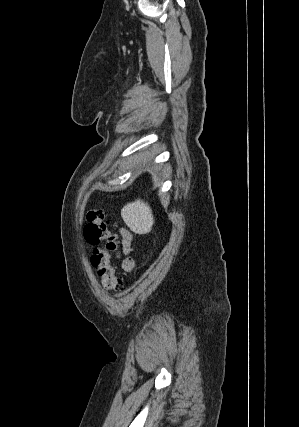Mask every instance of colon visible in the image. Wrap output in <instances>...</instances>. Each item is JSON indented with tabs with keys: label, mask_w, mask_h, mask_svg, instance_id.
Returning a JSON list of instances; mask_svg holds the SVG:
<instances>
[{
	"label": "colon",
	"mask_w": 299,
	"mask_h": 427,
	"mask_svg": "<svg viewBox=\"0 0 299 427\" xmlns=\"http://www.w3.org/2000/svg\"><path fill=\"white\" fill-rule=\"evenodd\" d=\"M86 219L84 236L86 241L94 246L91 261L97 268L101 284L106 291L121 293L124 290V282L122 278L116 276L111 263V254L118 248L117 234L110 228V222L105 219V213L101 208L90 209ZM103 242L105 245L100 247Z\"/></svg>",
	"instance_id": "obj_1"
}]
</instances>
